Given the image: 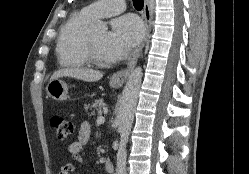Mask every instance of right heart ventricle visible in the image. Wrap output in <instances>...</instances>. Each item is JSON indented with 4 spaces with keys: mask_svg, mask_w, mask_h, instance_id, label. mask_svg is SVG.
<instances>
[{
    "mask_svg": "<svg viewBox=\"0 0 249 174\" xmlns=\"http://www.w3.org/2000/svg\"><path fill=\"white\" fill-rule=\"evenodd\" d=\"M93 20L85 10L73 14L61 29L56 52L61 65L82 67L88 64L85 43Z\"/></svg>",
    "mask_w": 249,
    "mask_h": 174,
    "instance_id": "obj_1",
    "label": "right heart ventricle"
}]
</instances>
